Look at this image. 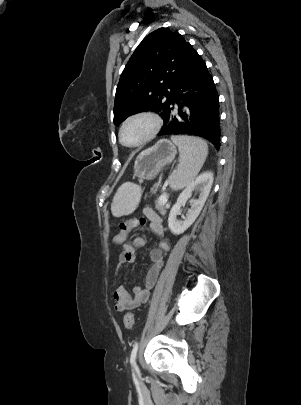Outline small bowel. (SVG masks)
<instances>
[{"label": "small bowel", "mask_w": 301, "mask_h": 405, "mask_svg": "<svg viewBox=\"0 0 301 405\" xmlns=\"http://www.w3.org/2000/svg\"><path fill=\"white\" fill-rule=\"evenodd\" d=\"M143 213L149 221L151 231L161 238L157 248L150 251L152 264L145 277V285L133 286L132 294L123 286H118L113 291L114 307L118 313L137 307L148 301L150 291L155 285L163 267V257L170 249V244L165 238V230L159 215L150 207H145ZM146 240L143 237H136L132 242H125L119 256L120 264L133 263L136 260V250L143 247Z\"/></svg>", "instance_id": "c3829d8e"}]
</instances>
